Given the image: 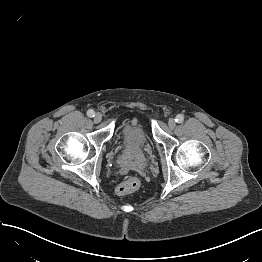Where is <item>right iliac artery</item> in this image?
<instances>
[{
    "instance_id": "82829eb1",
    "label": "right iliac artery",
    "mask_w": 262,
    "mask_h": 262,
    "mask_svg": "<svg viewBox=\"0 0 262 262\" xmlns=\"http://www.w3.org/2000/svg\"><path fill=\"white\" fill-rule=\"evenodd\" d=\"M87 115H88L89 117H94V115H95L94 110H92V109L88 110V111H87Z\"/></svg>"
}]
</instances>
